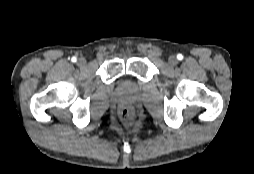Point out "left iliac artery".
Wrapping results in <instances>:
<instances>
[{"label":"left iliac artery","instance_id":"obj_1","mask_svg":"<svg viewBox=\"0 0 254 174\" xmlns=\"http://www.w3.org/2000/svg\"><path fill=\"white\" fill-rule=\"evenodd\" d=\"M177 58H178V60H182L183 59V55L182 54H178Z\"/></svg>","mask_w":254,"mask_h":174}]
</instances>
